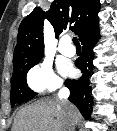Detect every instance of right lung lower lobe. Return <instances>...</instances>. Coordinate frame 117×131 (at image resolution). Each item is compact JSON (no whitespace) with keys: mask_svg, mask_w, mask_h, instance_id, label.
Segmentation results:
<instances>
[{"mask_svg":"<svg viewBox=\"0 0 117 131\" xmlns=\"http://www.w3.org/2000/svg\"><path fill=\"white\" fill-rule=\"evenodd\" d=\"M99 39V31L81 40L83 45V54L75 62L83 75L78 80L67 79L65 85L70 89L69 101L74 103L82 115L88 119L92 113L93 96L92 83L90 77L93 74L94 66L92 60L94 58L93 49Z\"/></svg>","mask_w":117,"mask_h":131,"instance_id":"right-lung-lower-lobe-1","label":"right lung lower lobe"}]
</instances>
